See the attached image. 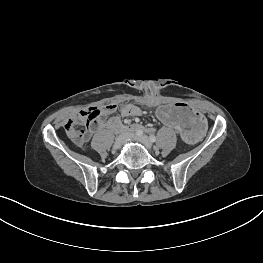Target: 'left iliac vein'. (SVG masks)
Wrapping results in <instances>:
<instances>
[{
	"mask_svg": "<svg viewBox=\"0 0 263 263\" xmlns=\"http://www.w3.org/2000/svg\"><path fill=\"white\" fill-rule=\"evenodd\" d=\"M134 139L138 142H140L141 144H143L146 148L148 149H152L153 144L150 141V139L145 136V135H141V136H135Z\"/></svg>",
	"mask_w": 263,
	"mask_h": 263,
	"instance_id": "4c4485c4",
	"label": "left iliac vein"
}]
</instances>
